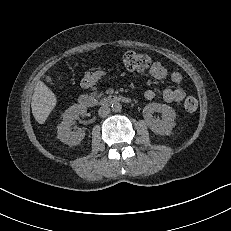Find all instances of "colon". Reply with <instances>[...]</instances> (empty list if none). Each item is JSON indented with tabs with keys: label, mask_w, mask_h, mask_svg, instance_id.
<instances>
[{
	"label": "colon",
	"mask_w": 231,
	"mask_h": 231,
	"mask_svg": "<svg viewBox=\"0 0 231 231\" xmlns=\"http://www.w3.org/2000/svg\"><path fill=\"white\" fill-rule=\"evenodd\" d=\"M124 67L131 72H143L151 65L148 55L135 51H128L122 57ZM184 109L187 112H194L198 107V101L193 96H188L184 101Z\"/></svg>",
	"instance_id": "1"
}]
</instances>
